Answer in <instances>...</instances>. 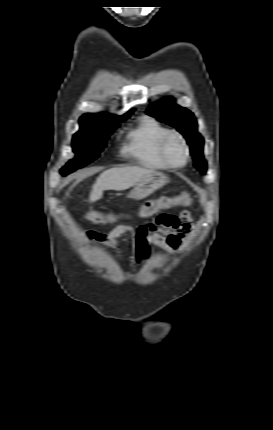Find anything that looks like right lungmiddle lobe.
<instances>
[{
    "instance_id": "right-lung-middle-lobe-1",
    "label": "right lung middle lobe",
    "mask_w": 273,
    "mask_h": 430,
    "mask_svg": "<svg viewBox=\"0 0 273 430\" xmlns=\"http://www.w3.org/2000/svg\"><path fill=\"white\" fill-rule=\"evenodd\" d=\"M127 118L120 120V122ZM119 125V123L104 125L80 122V130L74 135L72 140V147L76 153V157L62 168V175L65 176L76 169L82 168L98 158L100 152L106 146L109 136Z\"/></svg>"
}]
</instances>
